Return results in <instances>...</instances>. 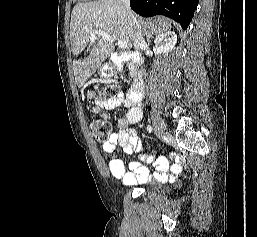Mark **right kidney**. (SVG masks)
I'll return each instance as SVG.
<instances>
[{
    "instance_id": "obj_1",
    "label": "right kidney",
    "mask_w": 257,
    "mask_h": 237,
    "mask_svg": "<svg viewBox=\"0 0 257 237\" xmlns=\"http://www.w3.org/2000/svg\"><path fill=\"white\" fill-rule=\"evenodd\" d=\"M177 43L175 32L167 31L157 36L154 41L153 51L156 55L167 54L172 51Z\"/></svg>"
}]
</instances>
